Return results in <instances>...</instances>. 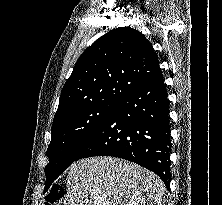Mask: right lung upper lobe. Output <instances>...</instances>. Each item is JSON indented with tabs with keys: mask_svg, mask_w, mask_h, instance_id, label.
I'll return each instance as SVG.
<instances>
[{
	"mask_svg": "<svg viewBox=\"0 0 222 205\" xmlns=\"http://www.w3.org/2000/svg\"><path fill=\"white\" fill-rule=\"evenodd\" d=\"M160 74L158 57L146 37L130 27L116 28L78 59L62 89L53 123L98 103L121 101Z\"/></svg>",
	"mask_w": 222,
	"mask_h": 205,
	"instance_id": "1",
	"label": "right lung upper lobe"
}]
</instances>
